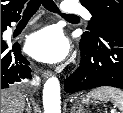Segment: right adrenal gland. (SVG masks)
Masks as SVG:
<instances>
[{"label": "right adrenal gland", "mask_w": 123, "mask_h": 113, "mask_svg": "<svg viewBox=\"0 0 123 113\" xmlns=\"http://www.w3.org/2000/svg\"><path fill=\"white\" fill-rule=\"evenodd\" d=\"M26 113H31V107H30V105H27V107H26Z\"/></svg>", "instance_id": "right-adrenal-gland-1"}]
</instances>
